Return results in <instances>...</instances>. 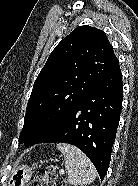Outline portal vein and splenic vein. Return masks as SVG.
Listing matches in <instances>:
<instances>
[{
    "instance_id": "portal-vein-and-splenic-vein-1",
    "label": "portal vein and splenic vein",
    "mask_w": 138,
    "mask_h": 186,
    "mask_svg": "<svg viewBox=\"0 0 138 186\" xmlns=\"http://www.w3.org/2000/svg\"><path fill=\"white\" fill-rule=\"evenodd\" d=\"M59 173H60L61 175L64 174V170L61 169V170L59 171Z\"/></svg>"
}]
</instances>
